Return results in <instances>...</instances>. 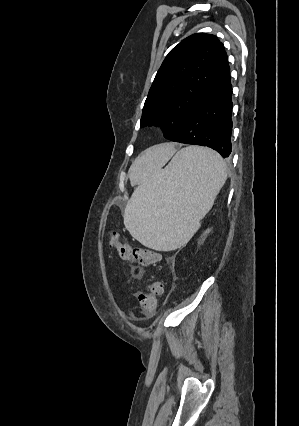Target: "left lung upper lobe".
Segmentation results:
<instances>
[{
  "instance_id": "5c2ea615",
  "label": "left lung upper lobe",
  "mask_w": 299,
  "mask_h": 426,
  "mask_svg": "<svg viewBox=\"0 0 299 426\" xmlns=\"http://www.w3.org/2000/svg\"><path fill=\"white\" fill-rule=\"evenodd\" d=\"M229 71L224 46L214 35L196 33L182 40L155 76L140 126L160 125L164 137L172 140Z\"/></svg>"
}]
</instances>
